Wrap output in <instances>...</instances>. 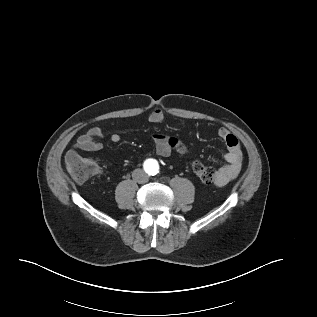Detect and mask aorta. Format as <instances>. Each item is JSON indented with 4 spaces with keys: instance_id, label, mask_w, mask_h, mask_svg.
<instances>
[{
    "instance_id": "762f6f07",
    "label": "aorta",
    "mask_w": 317,
    "mask_h": 317,
    "mask_svg": "<svg viewBox=\"0 0 317 317\" xmlns=\"http://www.w3.org/2000/svg\"><path fill=\"white\" fill-rule=\"evenodd\" d=\"M156 170H157V169H155V170L153 171V173H155V172H156Z\"/></svg>"
}]
</instances>
